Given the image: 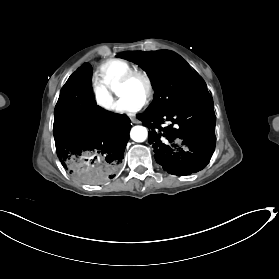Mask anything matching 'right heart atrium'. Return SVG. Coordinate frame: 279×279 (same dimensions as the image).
Wrapping results in <instances>:
<instances>
[{
  "label": "right heart atrium",
  "mask_w": 279,
  "mask_h": 279,
  "mask_svg": "<svg viewBox=\"0 0 279 279\" xmlns=\"http://www.w3.org/2000/svg\"><path fill=\"white\" fill-rule=\"evenodd\" d=\"M93 93L95 104L101 111L105 113L114 111L116 99L110 90L100 83L95 82L93 85Z\"/></svg>",
  "instance_id": "right-heart-atrium-1"
}]
</instances>
